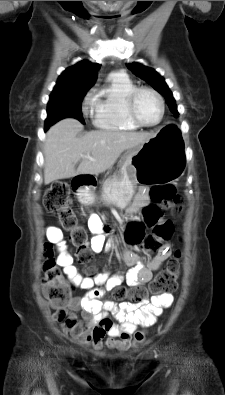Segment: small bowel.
<instances>
[{"mask_svg": "<svg viewBox=\"0 0 225 395\" xmlns=\"http://www.w3.org/2000/svg\"><path fill=\"white\" fill-rule=\"evenodd\" d=\"M148 204V194L144 187L139 192L133 203L127 209L130 219L136 217L141 209ZM88 227L93 233L90 245L95 253H100L110 247L106 244L107 229L97 214L88 217ZM49 242L55 244L58 259L56 265L71 277L73 281L72 292H82V297L71 301L68 309L56 310L54 319L61 324L62 330L69 336L84 345H92L96 349L104 345L109 348L127 349L140 344L145 339V332L138 327L153 325L157 317L173 303L170 293L153 295L141 303L123 302L117 304L113 301L103 300L105 290L116 287L123 279L133 287H143L160 270L163 263L170 257L172 249L166 243L160 247L155 256L148 262H143L139 255L125 251L124 260L129 270L124 277L108 272L96 274L93 277H83L73 263L69 254L68 238L63 237L62 231L55 226H48L45 230ZM81 310L82 320H78L73 311ZM111 313L113 321L108 314Z\"/></svg>", "mask_w": 225, "mask_h": 395, "instance_id": "small-bowel-1", "label": "small bowel"}]
</instances>
